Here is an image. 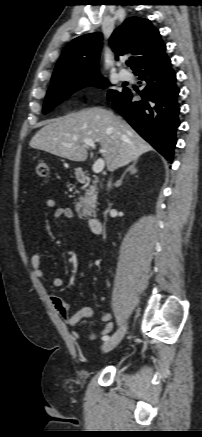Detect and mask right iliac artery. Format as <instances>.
<instances>
[{
    "instance_id": "right-iliac-artery-1",
    "label": "right iliac artery",
    "mask_w": 202,
    "mask_h": 437,
    "mask_svg": "<svg viewBox=\"0 0 202 437\" xmlns=\"http://www.w3.org/2000/svg\"><path fill=\"white\" fill-rule=\"evenodd\" d=\"M102 339H103L104 341H106V340L109 339V336H108V335H105V336L102 337Z\"/></svg>"
}]
</instances>
